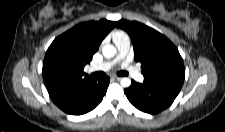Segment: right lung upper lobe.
<instances>
[{
    "instance_id": "cb5924a9",
    "label": "right lung upper lobe",
    "mask_w": 225,
    "mask_h": 132,
    "mask_svg": "<svg viewBox=\"0 0 225 132\" xmlns=\"http://www.w3.org/2000/svg\"><path fill=\"white\" fill-rule=\"evenodd\" d=\"M116 26L108 20L76 25L57 37L48 48L42 75L53 101L80 90L94 78L83 72L105 36Z\"/></svg>"
}]
</instances>
